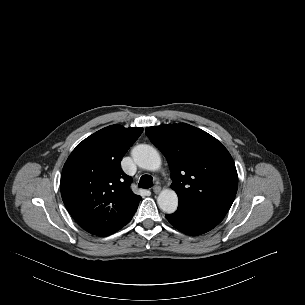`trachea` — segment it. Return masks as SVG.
Listing matches in <instances>:
<instances>
[{
    "label": "trachea",
    "mask_w": 305,
    "mask_h": 305,
    "mask_svg": "<svg viewBox=\"0 0 305 305\" xmlns=\"http://www.w3.org/2000/svg\"><path fill=\"white\" fill-rule=\"evenodd\" d=\"M152 183H153V180H152V177L150 175H143L140 178L138 186L140 188L148 189V188L152 187Z\"/></svg>",
    "instance_id": "3493384b"
}]
</instances>
